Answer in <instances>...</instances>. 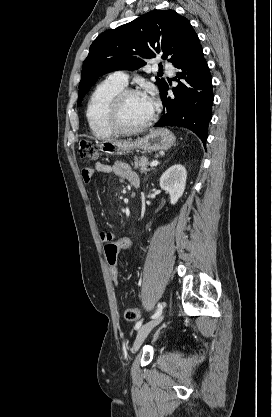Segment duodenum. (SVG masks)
<instances>
[{"label":"duodenum","mask_w":272,"mask_h":417,"mask_svg":"<svg viewBox=\"0 0 272 417\" xmlns=\"http://www.w3.org/2000/svg\"><path fill=\"white\" fill-rule=\"evenodd\" d=\"M138 185H139L138 182H133V184H132V186L135 187V188L138 187Z\"/></svg>","instance_id":"410a0bca"}]
</instances>
